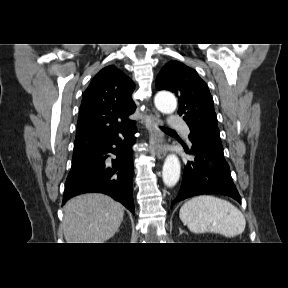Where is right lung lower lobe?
<instances>
[{"instance_id":"right-lung-lower-lobe-1","label":"right lung lower lobe","mask_w":288,"mask_h":288,"mask_svg":"<svg viewBox=\"0 0 288 288\" xmlns=\"http://www.w3.org/2000/svg\"><path fill=\"white\" fill-rule=\"evenodd\" d=\"M135 132L134 123L104 144L73 158L63 204L82 193L100 192L121 202L134 214L132 145ZM110 154L116 158H110Z\"/></svg>"}]
</instances>
